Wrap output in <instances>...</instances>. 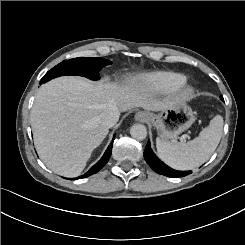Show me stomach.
<instances>
[{
	"label": "stomach",
	"mask_w": 245,
	"mask_h": 245,
	"mask_svg": "<svg viewBox=\"0 0 245 245\" xmlns=\"http://www.w3.org/2000/svg\"><path fill=\"white\" fill-rule=\"evenodd\" d=\"M195 122L192 109L185 104H170L158 115L153 114L150 122L156 127L158 135L163 141L175 139Z\"/></svg>",
	"instance_id": "0dacf381"
}]
</instances>
